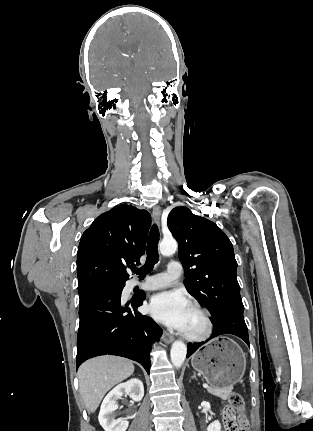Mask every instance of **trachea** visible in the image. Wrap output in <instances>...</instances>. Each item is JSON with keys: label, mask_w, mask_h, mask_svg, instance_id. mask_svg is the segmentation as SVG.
Masks as SVG:
<instances>
[{"label": "trachea", "mask_w": 313, "mask_h": 431, "mask_svg": "<svg viewBox=\"0 0 313 431\" xmlns=\"http://www.w3.org/2000/svg\"><path fill=\"white\" fill-rule=\"evenodd\" d=\"M158 242L159 230L157 225L154 224L150 230L147 242L146 263L141 268H132V271L138 274L140 279L145 278V276L152 271L154 265L159 261Z\"/></svg>", "instance_id": "3493384b"}]
</instances>
